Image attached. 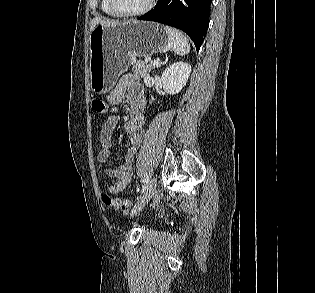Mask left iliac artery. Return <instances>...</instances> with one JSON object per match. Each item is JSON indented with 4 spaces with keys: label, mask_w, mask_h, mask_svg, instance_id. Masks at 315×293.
<instances>
[{
    "label": "left iliac artery",
    "mask_w": 315,
    "mask_h": 293,
    "mask_svg": "<svg viewBox=\"0 0 315 293\" xmlns=\"http://www.w3.org/2000/svg\"><path fill=\"white\" fill-rule=\"evenodd\" d=\"M148 183H149V175L145 174L144 179H143L142 192H144L146 190Z\"/></svg>",
    "instance_id": "1"
}]
</instances>
